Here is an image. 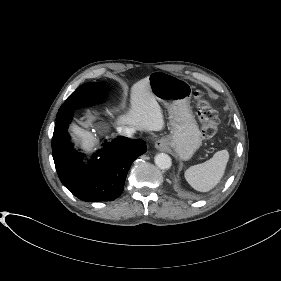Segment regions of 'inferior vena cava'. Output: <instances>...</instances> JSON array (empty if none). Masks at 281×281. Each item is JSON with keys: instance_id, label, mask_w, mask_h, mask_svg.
I'll use <instances>...</instances> for the list:
<instances>
[{"instance_id": "1", "label": "inferior vena cava", "mask_w": 281, "mask_h": 281, "mask_svg": "<svg viewBox=\"0 0 281 281\" xmlns=\"http://www.w3.org/2000/svg\"><path fill=\"white\" fill-rule=\"evenodd\" d=\"M118 133L122 136H126V137H133L135 130L132 127L129 126H122V127H118L117 129Z\"/></svg>"}]
</instances>
